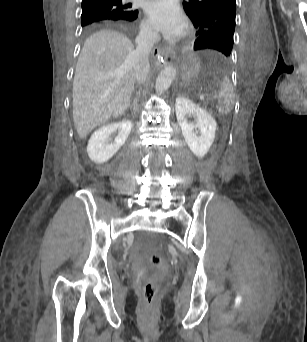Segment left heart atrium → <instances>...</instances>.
I'll return each mask as SVG.
<instances>
[{"label":"left heart atrium","instance_id":"obj_1","mask_svg":"<svg viewBox=\"0 0 307 342\" xmlns=\"http://www.w3.org/2000/svg\"><path fill=\"white\" fill-rule=\"evenodd\" d=\"M145 16L154 35L166 40H178L187 33L186 22L172 1L151 2L145 9Z\"/></svg>","mask_w":307,"mask_h":342}]
</instances>
